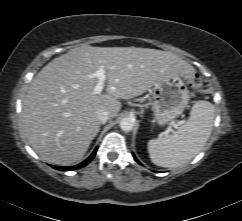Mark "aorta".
Listing matches in <instances>:
<instances>
[{
	"mask_svg": "<svg viewBox=\"0 0 242 221\" xmlns=\"http://www.w3.org/2000/svg\"><path fill=\"white\" fill-rule=\"evenodd\" d=\"M121 130L129 132L134 128V120L129 117L122 118L119 124Z\"/></svg>",
	"mask_w": 242,
	"mask_h": 221,
	"instance_id": "762f6f07",
	"label": "aorta"
}]
</instances>
